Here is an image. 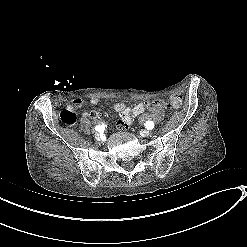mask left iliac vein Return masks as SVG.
Here are the masks:
<instances>
[{
    "label": "left iliac vein",
    "mask_w": 247,
    "mask_h": 247,
    "mask_svg": "<svg viewBox=\"0 0 247 247\" xmlns=\"http://www.w3.org/2000/svg\"><path fill=\"white\" fill-rule=\"evenodd\" d=\"M140 134L143 137H148L151 134V132L149 130H141Z\"/></svg>",
    "instance_id": "1"
}]
</instances>
